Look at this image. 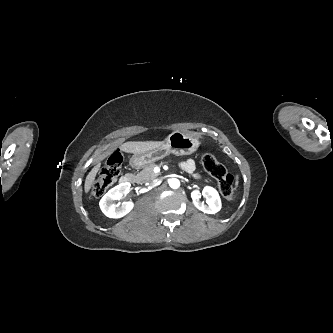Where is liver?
Segmentation results:
<instances>
[{
	"mask_svg": "<svg viewBox=\"0 0 333 333\" xmlns=\"http://www.w3.org/2000/svg\"><path fill=\"white\" fill-rule=\"evenodd\" d=\"M162 145H164L163 141H144V142L130 141L123 143L122 145H120L119 148L122 152L125 153L141 154L159 148ZM99 170H100V163L94 166L91 169V171L88 173L84 185L86 193H88L91 187L93 186L96 174L98 173Z\"/></svg>",
	"mask_w": 333,
	"mask_h": 333,
	"instance_id": "liver-1",
	"label": "liver"
}]
</instances>
